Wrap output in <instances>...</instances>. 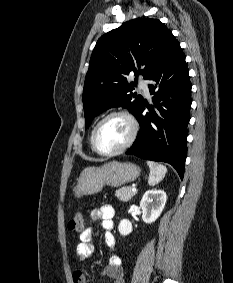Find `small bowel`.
Segmentation results:
<instances>
[{
  "mask_svg": "<svg viewBox=\"0 0 233 283\" xmlns=\"http://www.w3.org/2000/svg\"><path fill=\"white\" fill-rule=\"evenodd\" d=\"M114 208L109 204H104L99 208L93 209L88 217L89 223L101 221L104 229V242L110 251L107 266L102 270V276L108 278L112 283H125L120 257L115 253V237L113 230ZM93 232L91 227L85 228L81 235L76 249L77 260L84 263L93 252ZM74 283H85V276L82 271L77 270L73 273Z\"/></svg>",
  "mask_w": 233,
  "mask_h": 283,
  "instance_id": "1",
  "label": "small bowel"
}]
</instances>
